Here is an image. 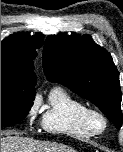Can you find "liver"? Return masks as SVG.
I'll return each mask as SVG.
<instances>
[{"mask_svg": "<svg viewBox=\"0 0 123 152\" xmlns=\"http://www.w3.org/2000/svg\"><path fill=\"white\" fill-rule=\"evenodd\" d=\"M1 152H76L73 148L56 143L38 141L33 138L1 137Z\"/></svg>", "mask_w": 123, "mask_h": 152, "instance_id": "6515ba94", "label": "liver"}]
</instances>
